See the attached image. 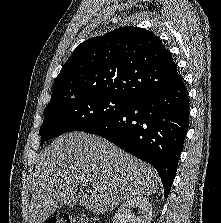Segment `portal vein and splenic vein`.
<instances>
[{"mask_svg": "<svg viewBox=\"0 0 221 223\" xmlns=\"http://www.w3.org/2000/svg\"><path fill=\"white\" fill-rule=\"evenodd\" d=\"M82 186L85 187V186H87V184H86L85 182H83V183H82Z\"/></svg>", "mask_w": 221, "mask_h": 223, "instance_id": "1", "label": "portal vein and splenic vein"}]
</instances>
